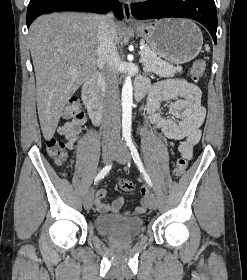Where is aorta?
Here are the masks:
<instances>
[{
    "label": "aorta",
    "mask_w": 247,
    "mask_h": 280,
    "mask_svg": "<svg viewBox=\"0 0 247 280\" xmlns=\"http://www.w3.org/2000/svg\"><path fill=\"white\" fill-rule=\"evenodd\" d=\"M132 104H133V88L131 76L127 75L122 88V133L123 136H128L131 133L132 122Z\"/></svg>",
    "instance_id": "obj_1"
}]
</instances>
